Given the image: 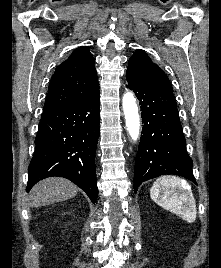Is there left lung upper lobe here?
Returning a JSON list of instances; mask_svg holds the SVG:
<instances>
[{
  "instance_id": "obj_1",
  "label": "left lung upper lobe",
  "mask_w": 221,
  "mask_h": 268,
  "mask_svg": "<svg viewBox=\"0 0 221 268\" xmlns=\"http://www.w3.org/2000/svg\"><path fill=\"white\" fill-rule=\"evenodd\" d=\"M126 79L128 82L146 89L173 93L166 74L142 50H136L129 59Z\"/></svg>"
}]
</instances>
